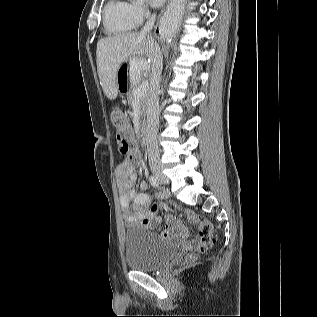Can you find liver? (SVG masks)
<instances>
[{
	"mask_svg": "<svg viewBox=\"0 0 317 317\" xmlns=\"http://www.w3.org/2000/svg\"><path fill=\"white\" fill-rule=\"evenodd\" d=\"M97 70L104 94L110 100L118 94L117 72L122 63L133 58L141 70L150 69L153 43L146 35L125 33L100 39L97 43ZM143 63V65H141Z\"/></svg>",
	"mask_w": 317,
	"mask_h": 317,
	"instance_id": "1",
	"label": "liver"
}]
</instances>
